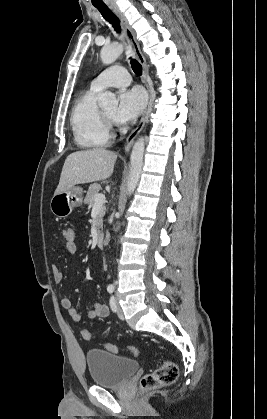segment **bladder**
<instances>
[{
    "label": "bladder",
    "instance_id": "31cf9c89",
    "mask_svg": "<svg viewBox=\"0 0 267 419\" xmlns=\"http://www.w3.org/2000/svg\"><path fill=\"white\" fill-rule=\"evenodd\" d=\"M86 363L93 384L105 388L123 386L139 369L137 360L101 349L89 350Z\"/></svg>",
    "mask_w": 267,
    "mask_h": 419
}]
</instances>
